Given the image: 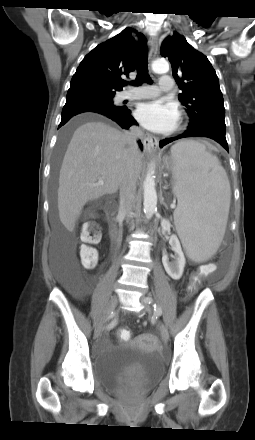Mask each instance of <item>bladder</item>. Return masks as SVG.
Here are the masks:
<instances>
[{
	"label": "bladder",
	"mask_w": 255,
	"mask_h": 440,
	"mask_svg": "<svg viewBox=\"0 0 255 440\" xmlns=\"http://www.w3.org/2000/svg\"><path fill=\"white\" fill-rule=\"evenodd\" d=\"M140 339L115 345L104 355L94 359L96 380L104 387L115 388L134 379L140 391L156 383L164 373L159 352L144 348Z\"/></svg>",
	"instance_id": "obj_1"
}]
</instances>
